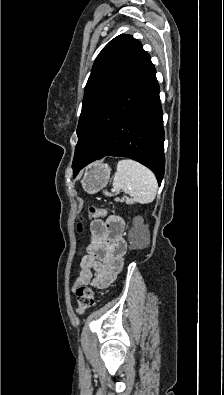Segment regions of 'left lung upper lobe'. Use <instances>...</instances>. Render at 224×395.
Here are the masks:
<instances>
[{
  "label": "left lung upper lobe",
  "mask_w": 224,
  "mask_h": 395,
  "mask_svg": "<svg viewBox=\"0 0 224 395\" xmlns=\"http://www.w3.org/2000/svg\"><path fill=\"white\" fill-rule=\"evenodd\" d=\"M150 59L141 43L121 34L111 40L97 56L85 86L82 111L78 123V143L72 168L82 159L95 123L112 101Z\"/></svg>",
  "instance_id": "left-lung-upper-lobe-1"
}]
</instances>
